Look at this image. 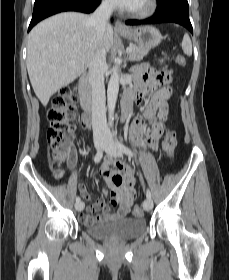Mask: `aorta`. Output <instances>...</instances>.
<instances>
[{
    "instance_id": "1",
    "label": "aorta",
    "mask_w": 229,
    "mask_h": 280,
    "mask_svg": "<svg viewBox=\"0 0 229 280\" xmlns=\"http://www.w3.org/2000/svg\"><path fill=\"white\" fill-rule=\"evenodd\" d=\"M119 76L120 69L118 65H115L111 70V77L107 88V103L109 110V125H113V114L115 110V105L117 101L118 91H119Z\"/></svg>"
}]
</instances>
